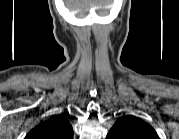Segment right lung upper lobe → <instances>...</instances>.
I'll return each mask as SVG.
<instances>
[{
    "label": "right lung upper lobe",
    "instance_id": "right-lung-upper-lobe-1",
    "mask_svg": "<svg viewBox=\"0 0 179 139\" xmlns=\"http://www.w3.org/2000/svg\"><path fill=\"white\" fill-rule=\"evenodd\" d=\"M27 139H73V129L66 118L55 116L32 129Z\"/></svg>",
    "mask_w": 179,
    "mask_h": 139
}]
</instances>
